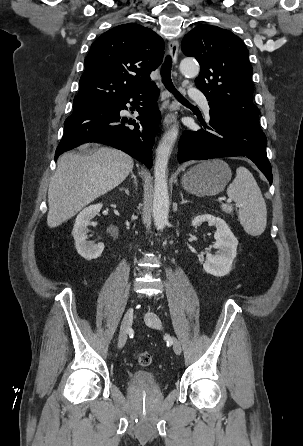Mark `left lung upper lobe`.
I'll return each mask as SVG.
<instances>
[{
	"label": "left lung upper lobe",
	"mask_w": 303,
	"mask_h": 446,
	"mask_svg": "<svg viewBox=\"0 0 303 446\" xmlns=\"http://www.w3.org/2000/svg\"><path fill=\"white\" fill-rule=\"evenodd\" d=\"M182 51L201 65L196 87L209 103L248 126L262 131L259 109L252 101L254 88L249 52L232 32L212 25H199L182 40Z\"/></svg>",
	"instance_id": "left-lung-upper-lobe-1"
}]
</instances>
